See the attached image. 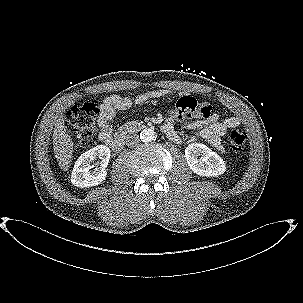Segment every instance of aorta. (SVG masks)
<instances>
[{
  "instance_id": "aorta-1",
  "label": "aorta",
  "mask_w": 303,
  "mask_h": 303,
  "mask_svg": "<svg viewBox=\"0 0 303 303\" xmlns=\"http://www.w3.org/2000/svg\"><path fill=\"white\" fill-rule=\"evenodd\" d=\"M156 132L152 128H145L140 133V139L144 143H149L156 140Z\"/></svg>"
}]
</instances>
